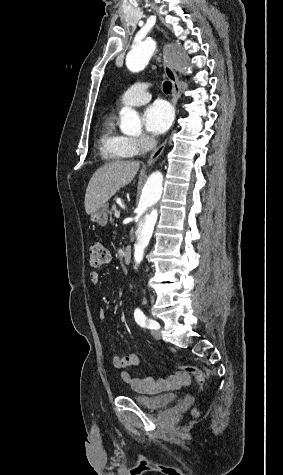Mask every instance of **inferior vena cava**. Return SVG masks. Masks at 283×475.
Returning a JSON list of instances; mask_svg holds the SVG:
<instances>
[{
  "label": "inferior vena cava",
  "mask_w": 283,
  "mask_h": 475,
  "mask_svg": "<svg viewBox=\"0 0 283 475\" xmlns=\"http://www.w3.org/2000/svg\"><path fill=\"white\" fill-rule=\"evenodd\" d=\"M152 142H155L154 138H152Z\"/></svg>",
  "instance_id": "602c4592"
}]
</instances>
